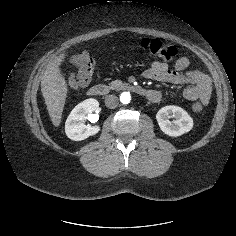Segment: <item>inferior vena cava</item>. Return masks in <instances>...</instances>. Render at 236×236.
Returning <instances> with one entry per match:
<instances>
[{"instance_id": "obj_1", "label": "inferior vena cava", "mask_w": 236, "mask_h": 236, "mask_svg": "<svg viewBox=\"0 0 236 236\" xmlns=\"http://www.w3.org/2000/svg\"><path fill=\"white\" fill-rule=\"evenodd\" d=\"M119 99L116 95H108L105 98V105L110 108L114 109L118 106Z\"/></svg>"}]
</instances>
